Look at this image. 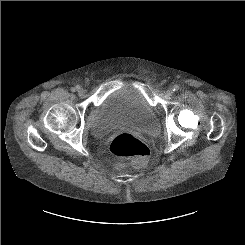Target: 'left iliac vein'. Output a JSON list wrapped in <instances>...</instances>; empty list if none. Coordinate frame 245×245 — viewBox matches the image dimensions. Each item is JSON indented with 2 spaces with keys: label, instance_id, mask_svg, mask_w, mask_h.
Instances as JSON below:
<instances>
[{
  "label": "left iliac vein",
  "instance_id": "obj_1",
  "mask_svg": "<svg viewBox=\"0 0 245 245\" xmlns=\"http://www.w3.org/2000/svg\"><path fill=\"white\" fill-rule=\"evenodd\" d=\"M173 90L172 89H168L167 91H166V95L167 96H172L173 95Z\"/></svg>",
  "mask_w": 245,
  "mask_h": 245
}]
</instances>
